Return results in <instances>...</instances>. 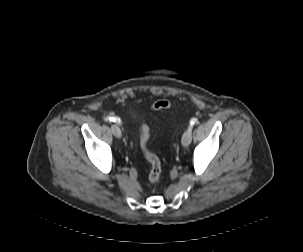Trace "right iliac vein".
<instances>
[{"instance_id": "right-iliac-vein-1", "label": "right iliac vein", "mask_w": 303, "mask_h": 252, "mask_svg": "<svg viewBox=\"0 0 303 252\" xmlns=\"http://www.w3.org/2000/svg\"><path fill=\"white\" fill-rule=\"evenodd\" d=\"M111 131L115 137H117V138L122 137V132L118 125H116V124L111 125Z\"/></svg>"}]
</instances>
